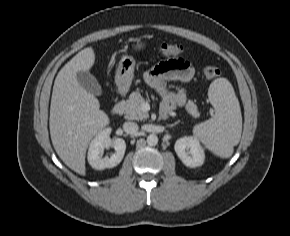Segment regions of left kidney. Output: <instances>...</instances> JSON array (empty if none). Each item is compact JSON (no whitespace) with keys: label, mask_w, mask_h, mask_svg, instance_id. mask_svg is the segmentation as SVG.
<instances>
[{"label":"left kidney","mask_w":290,"mask_h":236,"mask_svg":"<svg viewBox=\"0 0 290 236\" xmlns=\"http://www.w3.org/2000/svg\"><path fill=\"white\" fill-rule=\"evenodd\" d=\"M174 149L181 161L188 167L194 168L204 163V150L195 137H183L178 139Z\"/></svg>","instance_id":"1"}]
</instances>
